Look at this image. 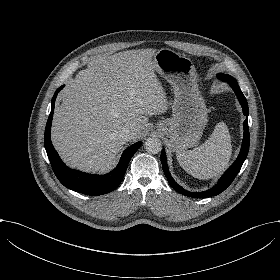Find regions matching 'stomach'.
Wrapping results in <instances>:
<instances>
[{"instance_id": "0dacf381", "label": "stomach", "mask_w": 280, "mask_h": 280, "mask_svg": "<svg viewBox=\"0 0 280 280\" xmlns=\"http://www.w3.org/2000/svg\"><path fill=\"white\" fill-rule=\"evenodd\" d=\"M153 61L154 70L170 83L174 93L173 116L157 123V131L169 138L174 150L191 148L200 140L208 122L196 68L191 59L168 48L158 50Z\"/></svg>"}]
</instances>
